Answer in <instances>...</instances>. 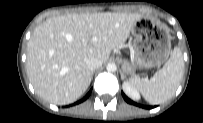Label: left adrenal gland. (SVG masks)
Returning a JSON list of instances; mask_svg holds the SVG:
<instances>
[{
  "mask_svg": "<svg viewBox=\"0 0 203 123\" xmlns=\"http://www.w3.org/2000/svg\"><path fill=\"white\" fill-rule=\"evenodd\" d=\"M121 79L123 80L124 79V73H123V71H121Z\"/></svg>",
  "mask_w": 203,
  "mask_h": 123,
  "instance_id": "a2214340",
  "label": "left adrenal gland"
}]
</instances>
